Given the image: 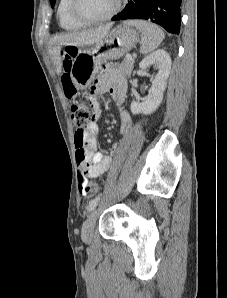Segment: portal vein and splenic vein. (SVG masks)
Wrapping results in <instances>:
<instances>
[{"mask_svg":"<svg viewBox=\"0 0 227 298\" xmlns=\"http://www.w3.org/2000/svg\"><path fill=\"white\" fill-rule=\"evenodd\" d=\"M126 59L127 60H131L132 59V56L131 55H126Z\"/></svg>","mask_w":227,"mask_h":298,"instance_id":"portal-vein-and-splenic-vein-1","label":"portal vein and splenic vein"}]
</instances>
